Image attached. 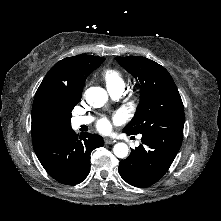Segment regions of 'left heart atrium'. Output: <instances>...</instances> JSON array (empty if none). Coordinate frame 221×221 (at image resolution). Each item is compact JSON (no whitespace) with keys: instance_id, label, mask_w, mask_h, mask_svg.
<instances>
[{"instance_id":"39dd6f15","label":"left heart atrium","mask_w":221,"mask_h":221,"mask_svg":"<svg viewBox=\"0 0 221 221\" xmlns=\"http://www.w3.org/2000/svg\"><path fill=\"white\" fill-rule=\"evenodd\" d=\"M97 127L102 132H107L110 129V121L106 117H102L99 119L97 123Z\"/></svg>"}]
</instances>
